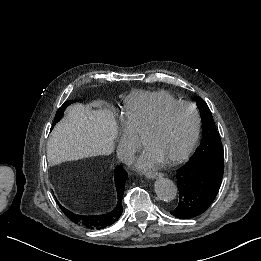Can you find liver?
Instances as JSON below:
<instances>
[{
  "instance_id": "obj_1",
  "label": "liver",
  "mask_w": 261,
  "mask_h": 261,
  "mask_svg": "<svg viewBox=\"0 0 261 261\" xmlns=\"http://www.w3.org/2000/svg\"><path fill=\"white\" fill-rule=\"evenodd\" d=\"M96 107V112L80 104L69 107L50 137L48 152L82 158L110 154L116 135L114 114L103 104Z\"/></svg>"
}]
</instances>
